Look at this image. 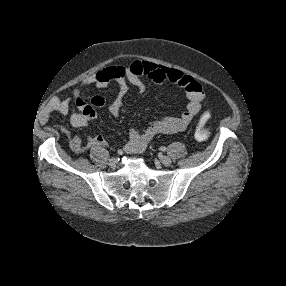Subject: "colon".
Instances as JSON below:
<instances>
[{
	"label": "colon",
	"instance_id": "1",
	"mask_svg": "<svg viewBox=\"0 0 286 286\" xmlns=\"http://www.w3.org/2000/svg\"><path fill=\"white\" fill-rule=\"evenodd\" d=\"M205 105L206 107H208V103L205 101ZM211 116V113L209 110H206L200 120L198 125L196 126L195 132H194V136L197 140H205L209 137L210 132L209 130L206 128V123L208 122L209 118Z\"/></svg>",
	"mask_w": 286,
	"mask_h": 286
}]
</instances>
